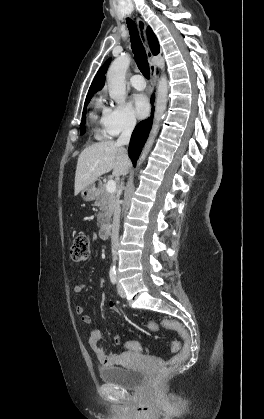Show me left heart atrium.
Returning <instances> with one entry per match:
<instances>
[{"label": "left heart atrium", "instance_id": "obj_1", "mask_svg": "<svg viewBox=\"0 0 264 419\" xmlns=\"http://www.w3.org/2000/svg\"><path fill=\"white\" fill-rule=\"evenodd\" d=\"M134 110L139 118H143L149 111L148 99L144 94H136L133 97Z\"/></svg>", "mask_w": 264, "mask_h": 419}]
</instances>
